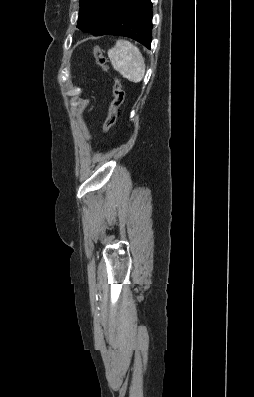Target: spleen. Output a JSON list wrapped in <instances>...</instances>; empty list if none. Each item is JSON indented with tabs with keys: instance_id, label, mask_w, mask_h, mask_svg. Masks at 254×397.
Returning <instances> with one entry per match:
<instances>
[{
	"instance_id": "3e777b00",
	"label": "spleen",
	"mask_w": 254,
	"mask_h": 397,
	"mask_svg": "<svg viewBox=\"0 0 254 397\" xmlns=\"http://www.w3.org/2000/svg\"><path fill=\"white\" fill-rule=\"evenodd\" d=\"M108 56L113 68L133 83L142 81L145 75V60L135 45L126 40H118Z\"/></svg>"
}]
</instances>
